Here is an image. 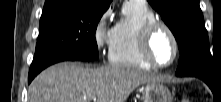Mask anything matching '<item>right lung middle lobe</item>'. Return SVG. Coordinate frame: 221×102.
Instances as JSON below:
<instances>
[{
	"label": "right lung middle lobe",
	"mask_w": 221,
	"mask_h": 102,
	"mask_svg": "<svg viewBox=\"0 0 221 102\" xmlns=\"http://www.w3.org/2000/svg\"><path fill=\"white\" fill-rule=\"evenodd\" d=\"M108 9L84 3L42 12L40 32L29 75H37L61 61H90L98 58L97 24Z\"/></svg>",
	"instance_id": "obj_1"
}]
</instances>
